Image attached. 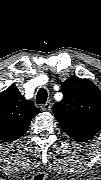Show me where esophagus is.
Returning <instances> with one entry per match:
<instances>
[{
    "label": "esophagus",
    "instance_id": "esophagus-1",
    "mask_svg": "<svg viewBox=\"0 0 101 180\" xmlns=\"http://www.w3.org/2000/svg\"><path fill=\"white\" fill-rule=\"evenodd\" d=\"M51 107H52V104L49 101L40 106L41 110H43V111H49L51 109Z\"/></svg>",
    "mask_w": 101,
    "mask_h": 180
}]
</instances>
